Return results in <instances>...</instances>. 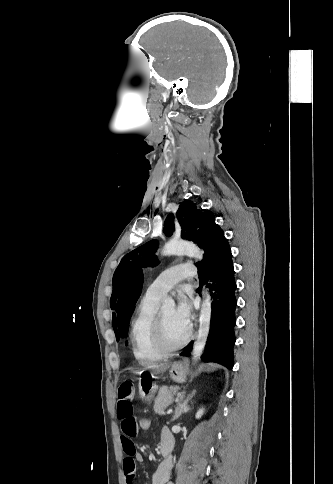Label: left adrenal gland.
I'll return each instance as SVG.
<instances>
[{"mask_svg":"<svg viewBox=\"0 0 333 484\" xmlns=\"http://www.w3.org/2000/svg\"><path fill=\"white\" fill-rule=\"evenodd\" d=\"M195 392L196 391H192V393L188 395L185 400H184V396L183 395L181 396L180 401L178 402V405L175 410V415L173 416L171 421L178 419L182 415V413H185L190 409L188 402L195 395Z\"/></svg>","mask_w":333,"mask_h":484,"instance_id":"obj_1","label":"left adrenal gland"}]
</instances>
